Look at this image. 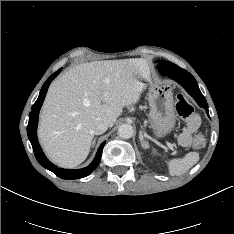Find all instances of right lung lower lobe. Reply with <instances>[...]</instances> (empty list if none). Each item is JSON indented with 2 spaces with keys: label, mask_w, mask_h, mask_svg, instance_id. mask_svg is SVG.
<instances>
[{
  "label": "right lung lower lobe",
  "mask_w": 234,
  "mask_h": 234,
  "mask_svg": "<svg viewBox=\"0 0 234 234\" xmlns=\"http://www.w3.org/2000/svg\"><path fill=\"white\" fill-rule=\"evenodd\" d=\"M60 71H61V68L58 71H56L54 74H52L46 80V82L43 84L41 91H40V94H39V97L36 100V102L33 104L32 111L29 114L27 134H28V138L32 144L35 157H36L37 161L44 168L55 173L58 177H60L62 179H79V178H83V177L89 175L97 167V165L101 159L102 150H103V147H104L106 141H104L100 145L94 160L92 161V163L88 167L83 168V169H77V170H67V169L58 168L57 166L52 164L46 158V156L44 155V153H43V151L38 143V139H37V125H38V115H39L40 108L43 104L45 95L47 93V89H48L51 81L60 73Z\"/></svg>",
  "instance_id": "right-lung-lower-lobe-1"
}]
</instances>
